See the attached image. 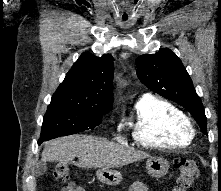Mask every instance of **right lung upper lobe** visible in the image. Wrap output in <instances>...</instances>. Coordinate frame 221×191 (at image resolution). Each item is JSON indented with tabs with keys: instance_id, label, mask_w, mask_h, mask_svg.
Here are the masks:
<instances>
[{
	"instance_id": "right-lung-upper-lobe-1",
	"label": "right lung upper lobe",
	"mask_w": 221,
	"mask_h": 191,
	"mask_svg": "<svg viewBox=\"0 0 221 191\" xmlns=\"http://www.w3.org/2000/svg\"><path fill=\"white\" fill-rule=\"evenodd\" d=\"M112 56L82 53L53 94L49 106L73 105L110 111L113 103Z\"/></svg>"
}]
</instances>
